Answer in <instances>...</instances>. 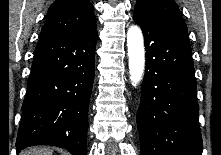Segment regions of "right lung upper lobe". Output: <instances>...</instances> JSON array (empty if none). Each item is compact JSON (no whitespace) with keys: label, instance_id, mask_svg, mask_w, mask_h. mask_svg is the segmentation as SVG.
Returning <instances> with one entry per match:
<instances>
[{"label":"right lung upper lobe","instance_id":"obj_1","mask_svg":"<svg viewBox=\"0 0 221 155\" xmlns=\"http://www.w3.org/2000/svg\"><path fill=\"white\" fill-rule=\"evenodd\" d=\"M96 25L89 0H56L48 9L41 36L61 35Z\"/></svg>","mask_w":221,"mask_h":155}]
</instances>
